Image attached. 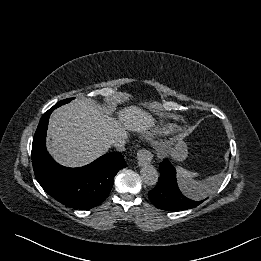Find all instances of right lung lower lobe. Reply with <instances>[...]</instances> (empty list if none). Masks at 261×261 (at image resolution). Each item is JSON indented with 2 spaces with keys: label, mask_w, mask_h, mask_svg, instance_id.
I'll list each match as a JSON object with an SVG mask.
<instances>
[{
  "label": "right lung lower lobe",
  "mask_w": 261,
  "mask_h": 261,
  "mask_svg": "<svg viewBox=\"0 0 261 261\" xmlns=\"http://www.w3.org/2000/svg\"><path fill=\"white\" fill-rule=\"evenodd\" d=\"M57 104L42 116L32 143L35 177L45 192L62 204L76 209H91L103 202L113 186L114 176L127 167L124 156L108 153L80 168L56 163L46 149V130L50 114Z\"/></svg>",
  "instance_id": "obj_1"
}]
</instances>
